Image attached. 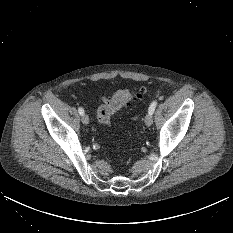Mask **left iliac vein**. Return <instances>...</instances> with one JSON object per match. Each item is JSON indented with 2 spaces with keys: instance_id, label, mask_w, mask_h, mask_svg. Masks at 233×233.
Instances as JSON below:
<instances>
[{
  "instance_id": "1",
  "label": "left iliac vein",
  "mask_w": 233,
  "mask_h": 233,
  "mask_svg": "<svg viewBox=\"0 0 233 233\" xmlns=\"http://www.w3.org/2000/svg\"><path fill=\"white\" fill-rule=\"evenodd\" d=\"M153 123V116L152 114L148 113L146 116H145V124L147 126H151Z\"/></svg>"
}]
</instances>
